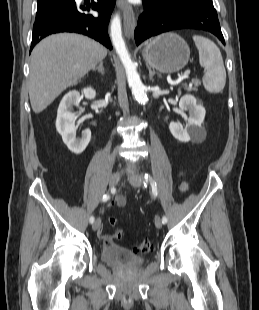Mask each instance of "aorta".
I'll use <instances>...</instances> for the list:
<instances>
[{
    "mask_svg": "<svg viewBox=\"0 0 259 310\" xmlns=\"http://www.w3.org/2000/svg\"><path fill=\"white\" fill-rule=\"evenodd\" d=\"M110 37L116 53L125 68L128 84L132 89V94L139 103L145 104L148 101L145 86L143 85L136 70V66L131 60L126 48L125 41L122 37L121 19L119 15H115L111 21Z\"/></svg>",
    "mask_w": 259,
    "mask_h": 310,
    "instance_id": "762f6f07",
    "label": "aorta"
}]
</instances>
